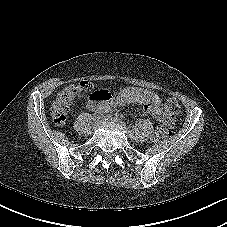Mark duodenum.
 <instances>
[{"mask_svg": "<svg viewBox=\"0 0 227 227\" xmlns=\"http://www.w3.org/2000/svg\"><path fill=\"white\" fill-rule=\"evenodd\" d=\"M108 101V95L105 92L99 91L93 95L90 105L93 110H95L96 112H100L101 110L106 108Z\"/></svg>", "mask_w": 227, "mask_h": 227, "instance_id": "obj_1", "label": "duodenum"}]
</instances>
